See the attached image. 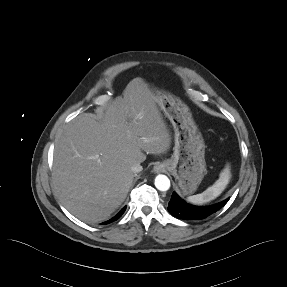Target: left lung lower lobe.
Returning <instances> with one entry per match:
<instances>
[{
    "label": "left lung lower lobe",
    "instance_id": "0a47b994",
    "mask_svg": "<svg viewBox=\"0 0 287 287\" xmlns=\"http://www.w3.org/2000/svg\"><path fill=\"white\" fill-rule=\"evenodd\" d=\"M226 199L218 204L212 206H194L187 204L182 200L175 192H173L171 200L169 202L168 211L176 218L183 220H200L208 217L209 215L217 212L221 209L228 201Z\"/></svg>",
    "mask_w": 287,
    "mask_h": 287
}]
</instances>
